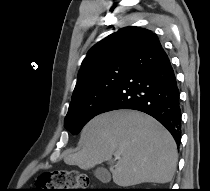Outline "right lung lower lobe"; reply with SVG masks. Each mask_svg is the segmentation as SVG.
Instances as JSON below:
<instances>
[{"label": "right lung lower lobe", "mask_w": 210, "mask_h": 191, "mask_svg": "<svg viewBox=\"0 0 210 191\" xmlns=\"http://www.w3.org/2000/svg\"><path fill=\"white\" fill-rule=\"evenodd\" d=\"M117 109H134L151 115L180 144L179 89L170 60L156 34L132 58L98 114Z\"/></svg>", "instance_id": "obj_1"}]
</instances>
